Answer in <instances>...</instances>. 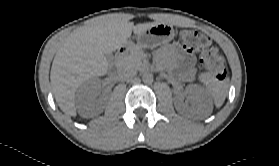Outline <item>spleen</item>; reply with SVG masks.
Wrapping results in <instances>:
<instances>
[{"mask_svg": "<svg viewBox=\"0 0 279 166\" xmlns=\"http://www.w3.org/2000/svg\"><path fill=\"white\" fill-rule=\"evenodd\" d=\"M199 79L201 82L204 83L207 92L212 97L214 104L217 108L221 107L222 104L225 101V98L228 94V88H229V80L225 79L222 81H219L215 78H213L208 73H202L199 76Z\"/></svg>", "mask_w": 279, "mask_h": 166, "instance_id": "3e777b00", "label": "spleen"}]
</instances>
